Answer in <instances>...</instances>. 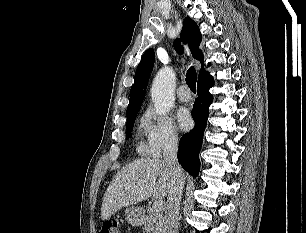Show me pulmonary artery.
Instances as JSON below:
<instances>
[{
	"label": "pulmonary artery",
	"instance_id": "obj_1",
	"mask_svg": "<svg viewBox=\"0 0 306 233\" xmlns=\"http://www.w3.org/2000/svg\"><path fill=\"white\" fill-rule=\"evenodd\" d=\"M177 97L180 101L187 102L191 99V94L186 85H181L177 90Z\"/></svg>",
	"mask_w": 306,
	"mask_h": 233
}]
</instances>
